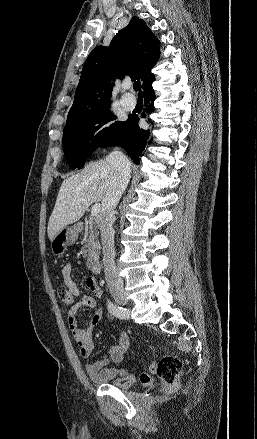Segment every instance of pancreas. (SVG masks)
I'll list each match as a JSON object with an SVG mask.
<instances>
[{"mask_svg":"<svg viewBox=\"0 0 257 439\" xmlns=\"http://www.w3.org/2000/svg\"><path fill=\"white\" fill-rule=\"evenodd\" d=\"M97 223L93 220L85 222V230L83 232V254L87 257L86 265L90 267L93 261L98 257L99 240Z\"/></svg>","mask_w":257,"mask_h":439,"instance_id":"cf45deb5","label":"pancreas"}]
</instances>
